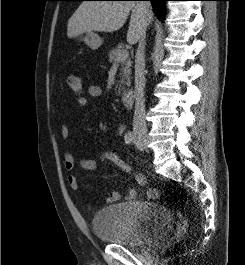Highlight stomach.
Masks as SVG:
<instances>
[{
    "label": "stomach",
    "instance_id": "1",
    "mask_svg": "<svg viewBox=\"0 0 245 265\" xmlns=\"http://www.w3.org/2000/svg\"><path fill=\"white\" fill-rule=\"evenodd\" d=\"M75 39L77 41H83L92 50H96L102 45V39L93 32L80 34Z\"/></svg>",
    "mask_w": 245,
    "mask_h": 265
}]
</instances>
